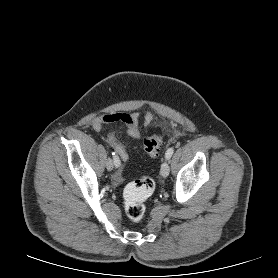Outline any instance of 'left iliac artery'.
Returning a JSON list of instances; mask_svg holds the SVG:
<instances>
[{"instance_id":"left-iliac-artery-1","label":"left iliac artery","mask_w":278,"mask_h":278,"mask_svg":"<svg viewBox=\"0 0 278 278\" xmlns=\"http://www.w3.org/2000/svg\"><path fill=\"white\" fill-rule=\"evenodd\" d=\"M173 153H174V148L173 147L169 148L165 153V158L170 159Z\"/></svg>"}]
</instances>
